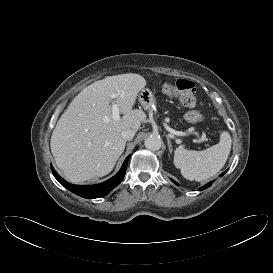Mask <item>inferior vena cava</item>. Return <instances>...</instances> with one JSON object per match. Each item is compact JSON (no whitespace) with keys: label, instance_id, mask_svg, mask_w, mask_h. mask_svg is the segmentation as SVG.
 Returning <instances> with one entry per match:
<instances>
[{"label":"inferior vena cava","instance_id":"1","mask_svg":"<svg viewBox=\"0 0 273 273\" xmlns=\"http://www.w3.org/2000/svg\"><path fill=\"white\" fill-rule=\"evenodd\" d=\"M135 135V131L132 129H127L121 132V136L125 140H131Z\"/></svg>","mask_w":273,"mask_h":273}]
</instances>
